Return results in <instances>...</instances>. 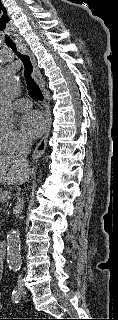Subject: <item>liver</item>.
Returning <instances> with one entry per match:
<instances>
[{
	"mask_svg": "<svg viewBox=\"0 0 118 320\" xmlns=\"http://www.w3.org/2000/svg\"><path fill=\"white\" fill-rule=\"evenodd\" d=\"M29 176V166L16 156H0V183L4 185H20Z\"/></svg>",
	"mask_w": 118,
	"mask_h": 320,
	"instance_id": "6515ba94",
	"label": "liver"
}]
</instances>
